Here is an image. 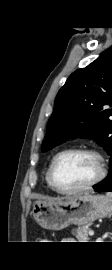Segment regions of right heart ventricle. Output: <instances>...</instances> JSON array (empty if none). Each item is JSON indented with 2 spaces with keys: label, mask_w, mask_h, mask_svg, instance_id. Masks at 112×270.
<instances>
[{
  "label": "right heart ventricle",
  "mask_w": 112,
  "mask_h": 270,
  "mask_svg": "<svg viewBox=\"0 0 112 270\" xmlns=\"http://www.w3.org/2000/svg\"><path fill=\"white\" fill-rule=\"evenodd\" d=\"M45 181H46V184L48 185V187H49L50 189H52V187H51V185H50V183H49V181H48V170L46 171V174H45Z\"/></svg>",
  "instance_id": "1"
}]
</instances>
